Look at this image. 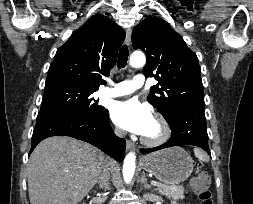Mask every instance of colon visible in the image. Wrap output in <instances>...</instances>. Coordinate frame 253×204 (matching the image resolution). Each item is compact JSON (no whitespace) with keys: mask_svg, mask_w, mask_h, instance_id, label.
I'll list each match as a JSON object with an SVG mask.
<instances>
[{"mask_svg":"<svg viewBox=\"0 0 253 204\" xmlns=\"http://www.w3.org/2000/svg\"><path fill=\"white\" fill-rule=\"evenodd\" d=\"M210 182V176L205 172L200 173L192 180V190L199 198L201 204H213Z\"/></svg>","mask_w":253,"mask_h":204,"instance_id":"5ec220e1","label":"colon"}]
</instances>
